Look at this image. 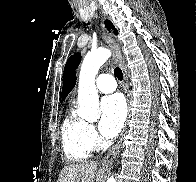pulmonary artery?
Returning <instances> with one entry per match:
<instances>
[{
    "label": "pulmonary artery",
    "mask_w": 196,
    "mask_h": 182,
    "mask_svg": "<svg viewBox=\"0 0 196 182\" xmlns=\"http://www.w3.org/2000/svg\"><path fill=\"white\" fill-rule=\"evenodd\" d=\"M96 89L102 93H110L116 89V81L111 75H100L96 80Z\"/></svg>",
    "instance_id": "e3ab8cb5"
}]
</instances>
